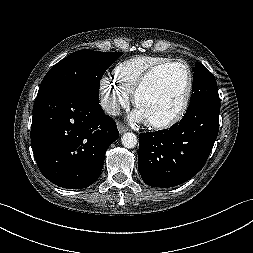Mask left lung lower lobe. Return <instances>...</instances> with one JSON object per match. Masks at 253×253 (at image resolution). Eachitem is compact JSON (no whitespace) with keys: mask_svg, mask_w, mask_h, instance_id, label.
Segmentation results:
<instances>
[{"mask_svg":"<svg viewBox=\"0 0 253 253\" xmlns=\"http://www.w3.org/2000/svg\"><path fill=\"white\" fill-rule=\"evenodd\" d=\"M220 101L204 100L188 107L169 129L141 133L138 168L153 187L184 183L205 165L219 129Z\"/></svg>","mask_w":253,"mask_h":253,"instance_id":"left-lung-lower-lobe-1","label":"left lung lower lobe"}]
</instances>
